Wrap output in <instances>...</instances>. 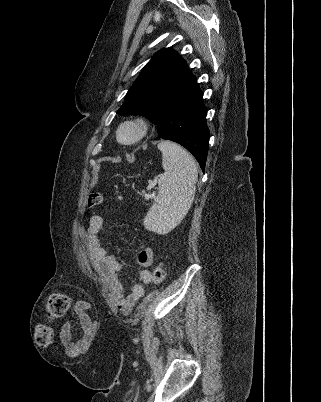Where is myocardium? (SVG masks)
I'll return each instance as SVG.
<instances>
[{
  "mask_svg": "<svg viewBox=\"0 0 321 402\" xmlns=\"http://www.w3.org/2000/svg\"><path fill=\"white\" fill-rule=\"evenodd\" d=\"M131 128L134 130V136L129 140H123L121 135L124 129ZM149 131V122L143 117H133L120 123L116 131L117 141L122 145H135L140 142Z\"/></svg>",
  "mask_w": 321,
  "mask_h": 402,
  "instance_id": "1",
  "label": "myocardium"
}]
</instances>
